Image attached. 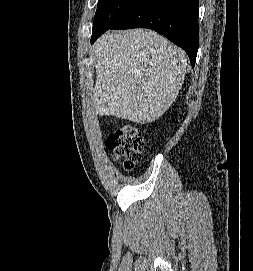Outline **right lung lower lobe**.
<instances>
[{
    "label": "right lung lower lobe",
    "instance_id": "98d812e1",
    "mask_svg": "<svg viewBox=\"0 0 253 271\" xmlns=\"http://www.w3.org/2000/svg\"><path fill=\"white\" fill-rule=\"evenodd\" d=\"M198 10L199 0H134L109 29L155 30L183 48L194 67L199 44ZM105 31L93 33L91 43Z\"/></svg>",
    "mask_w": 253,
    "mask_h": 271
}]
</instances>
